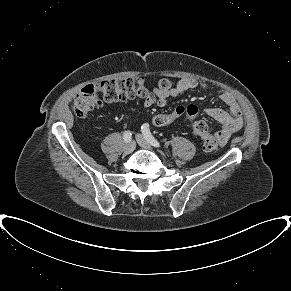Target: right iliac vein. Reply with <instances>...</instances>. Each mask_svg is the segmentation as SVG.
Masks as SVG:
<instances>
[{
  "label": "right iliac vein",
  "instance_id": "63e3f726",
  "mask_svg": "<svg viewBox=\"0 0 291 291\" xmlns=\"http://www.w3.org/2000/svg\"><path fill=\"white\" fill-rule=\"evenodd\" d=\"M136 145L135 142L131 141L124 146V154H130L134 151Z\"/></svg>",
  "mask_w": 291,
  "mask_h": 291
}]
</instances>
